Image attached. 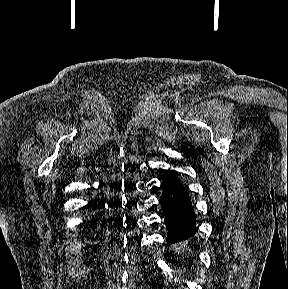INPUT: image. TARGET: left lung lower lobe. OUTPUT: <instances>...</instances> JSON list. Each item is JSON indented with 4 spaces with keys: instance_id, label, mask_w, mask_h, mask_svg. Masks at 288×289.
<instances>
[{
    "instance_id": "1",
    "label": "left lung lower lobe",
    "mask_w": 288,
    "mask_h": 289,
    "mask_svg": "<svg viewBox=\"0 0 288 289\" xmlns=\"http://www.w3.org/2000/svg\"><path fill=\"white\" fill-rule=\"evenodd\" d=\"M161 188L163 192L159 203L168 230V245L193 237L196 233L194 209L186 188L174 171H168Z\"/></svg>"
}]
</instances>
